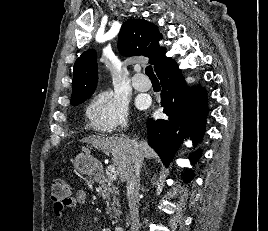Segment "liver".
I'll list each match as a JSON object with an SVG mask.
<instances>
[{"label":"liver","instance_id":"6515ba94","mask_svg":"<svg viewBox=\"0 0 268 231\" xmlns=\"http://www.w3.org/2000/svg\"><path fill=\"white\" fill-rule=\"evenodd\" d=\"M135 139H124L118 137H101L89 136L82 140L83 143L91 144L96 148H100L106 154L112 155V161L115 165L116 172L121 181H125V173L131 165L132 150L136 149L142 160L144 158H154L156 153L148 145L147 140L137 141ZM85 152H89L87 148H83Z\"/></svg>","mask_w":268,"mask_h":231}]
</instances>
